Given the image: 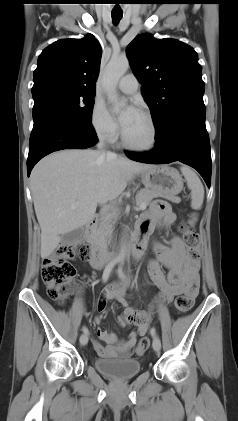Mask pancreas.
Returning <instances> with one entry per match:
<instances>
[{"mask_svg": "<svg viewBox=\"0 0 238 421\" xmlns=\"http://www.w3.org/2000/svg\"><path fill=\"white\" fill-rule=\"evenodd\" d=\"M161 196H163V194L157 190L141 189L136 195V204L139 206L140 205L148 206L154 198L161 197ZM170 200L174 202L175 198H170ZM108 219L112 221L113 223H115L117 220V217L114 215H109ZM105 228H106V224L102 223L99 226V228L96 230V236L102 242H105V237H106Z\"/></svg>", "mask_w": 238, "mask_h": 421, "instance_id": "cf45deb5", "label": "pancreas"}]
</instances>
